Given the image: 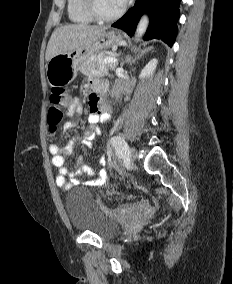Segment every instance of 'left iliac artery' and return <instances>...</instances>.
Here are the masks:
<instances>
[{"instance_id":"44dca946","label":"left iliac artery","mask_w":233,"mask_h":284,"mask_svg":"<svg viewBox=\"0 0 233 284\" xmlns=\"http://www.w3.org/2000/svg\"><path fill=\"white\" fill-rule=\"evenodd\" d=\"M111 143L115 148L118 157L123 158L128 154L129 146L126 141L120 136L113 137Z\"/></svg>"}]
</instances>
